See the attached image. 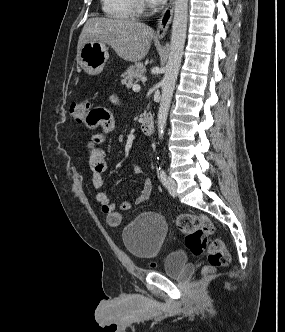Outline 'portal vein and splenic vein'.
Wrapping results in <instances>:
<instances>
[{"label": "portal vein and splenic vein", "instance_id": "18ae733b", "mask_svg": "<svg viewBox=\"0 0 285 332\" xmlns=\"http://www.w3.org/2000/svg\"><path fill=\"white\" fill-rule=\"evenodd\" d=\"M140 85H133L132 89L133 91H140Z\"/></svg>", "mask_w": 285, "mask_h": 332}]
</instances>
